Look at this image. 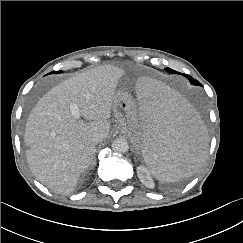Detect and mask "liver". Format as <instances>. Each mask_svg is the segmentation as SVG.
<instances>
[{
    "instance_id": "obj_1",
    "label": "liver",
    "mask_w": 243,
    "mask_h": 243,
    "mask_svg": "<svg viewBox=\"0 0 243 243\" xmlns=\"http://www.w3.org/2000/svg\"><path fill=\"white\" fill-rule=\"evenodd\" d=\"M123 75L111 65L76 74L47 92L29 114L24 136L27 162L36 179L52 191H74L93 164L92 137L108 136L113 99ZM71 104L79 107L86 121L73 116Z\"/></svg>"
}]
</instances>
